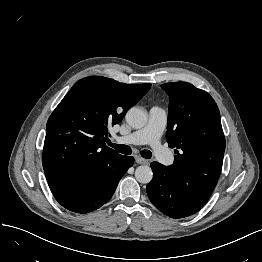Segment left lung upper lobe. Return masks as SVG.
<instances>
[{"instance_id": "1", "label": "left lung upper lobe", "mask_w": 262, "mask_h": 262, "mask_svg": "<svg viewBox=\"0 0 262 262\" xmlns=\"http://www.w3.org/2000/svg\"><path fill=\"white\" fill-rule=\"evenodd\" d=\"M161 87L169 95L167 141L176 156L168 166L171 182L205 205L219 179L225 151L220 112L214 99L190 83Z\"/></svg>"}]
</instances>
